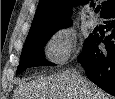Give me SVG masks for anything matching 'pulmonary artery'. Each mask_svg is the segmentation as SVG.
<instances>
[{
  "instance_id": "pulmonary-artery-1",
  "label": "pulmonary artery",
  "mask_w": 115,
  "mask_h": 99,
  "mask_svg": "<svg viewBox=\"0 0 115 99\" xmlns=\"http://www.w3.org/2000/svg\"><path fill=\"white\" fill-rule=\"evenodd\" d=\"M90 27L94 28L98 25V20L94 17L90 18L88 21Z\"/></svg>"
}]
</instances>
